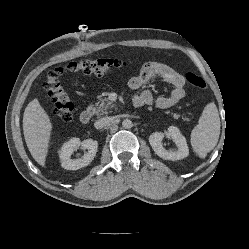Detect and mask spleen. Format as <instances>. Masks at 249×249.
<instances>
[{
  "instance_id": "spleen-1",
  "label": "spleen",
  "mask_w": 249,
  "mask_h": 249,
  "mask_svg": "<svg viewBox=\"0 0 249 249\" xmlns=\"http://www.w3.org/2000/svg\"><path fill=\"white\" fill-rule=\"evenodd\" d=\"M220 135V117L216 105L211 102L207 104L199 118L198 125L191 133V145L200 158L216 146Z\"/></svg>"
}]
</instances>
